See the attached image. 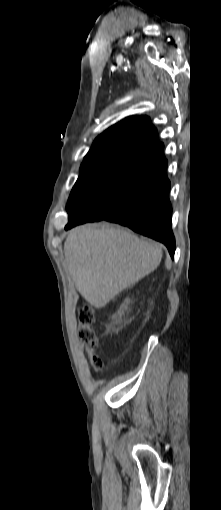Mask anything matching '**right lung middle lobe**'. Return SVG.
Segmentation results:
<instances>
[{"instance_id": "1", "label": "right lung middle lobe", "mask_w": 221, "mask_h": 510, "mask_svg": "<svg viewBox=\"0 0 221 510\" xmlns=\"http://www.w3.org/2000/svg\"><path fill=\"white\" fill-rule=\"evenodd\" d=\"M153 153L118 151L85 158L75 183L67 211L86 203L90 214H108L124 200L135 177Z\"/></svg>"}]
</instances>
